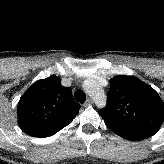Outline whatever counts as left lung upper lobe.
Listing matches in <instances>:
<instances>
[{"instance_id": "1", "label": "left lung upper lobe", "mask_w": 164, "mask_h": 164, "mask_svg": "<svg viewBox=\"0 0 164 164\" xmlns=\"http://www.w3.org/2000/svg\"><path fill=\"white\" fill-rule=\"evenodd\" d=\"M99 115L114 125L154 135L164 121V103L148 84L118 75L110 80L107 106Z\"/></svg>"}]
</instances>
